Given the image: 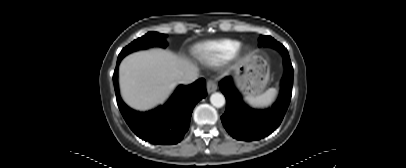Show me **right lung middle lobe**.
I'll use <instances>...</instances> for the list:
<instances>
[{
  "instance_id": "1",
  "label": "right lung middle lobe",
  "mask_w": 406,
  "mask_h": 168,
  "mask_svg": "<svg viewBox=\"0 0 406 168\" xmlns=\"http://www.w3.org/2000/svg\"><path fill=\"white\" fill-rule=\"evenodd\" d=\"M165 37H166L165 34H160L157 32H148L141 38L134 40L131 44L126 46L119 54L117 60L122 59L127 54L140 49H147L149 47L154 46L166 47L167 42L165 40Z\"/></svg>"
}]
</instances>
